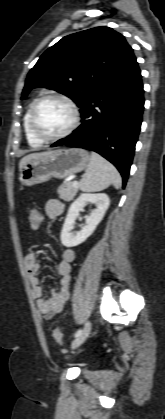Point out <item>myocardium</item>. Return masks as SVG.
<instances>
[{
  "mask_svg": "<svg viewBox=\"0 0 165 419\" xmlns=\"http://www.w3.org/2000/svg\"><path fill=\"white\" fill-rule=\"evenodd\" d=\"M47 100H56V101H60L64 103L69 108L72 115V119L69 126L63 132L54 136H45L44 134H42L39 131L37 127V123H36L37 110L39 106ZM79 120H80V114H79V110L76 104L68 97L60 95V94H48L37 99L33 103L30 110V115H29V124H30L31 132L38 140H40L43 143L55 142V141L66 138L77 128Z\"/></svg>",
  "mask_w": 165,
  "mask_h": 419,
  "instance_id": "f54148a6",
  "label": "myocardium"
}]
</instances>
